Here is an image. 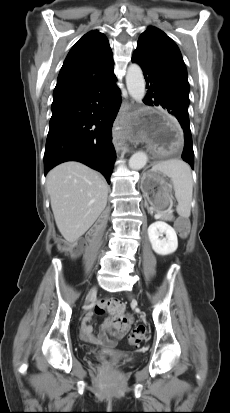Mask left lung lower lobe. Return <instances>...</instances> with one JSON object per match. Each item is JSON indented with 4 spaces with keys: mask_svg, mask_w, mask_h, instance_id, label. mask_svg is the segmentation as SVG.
<instances>
[{
    "mask_svg": "<svg viewBox=\"0 0 230 413\" xmlns=\"http://www.w3.org/2000/svg\"><path fill=\"white\" fill-rule=\"evenodd\" d=\"M132 62L141 66L146 80L148 91L144 103L162 106L180 123L185 142L182 158L193 168L194 152L188 116L189 98L174 88L156 69L135 58H132Z\"/></svg>",
    "mask_w": 230,
    "mask_h": 413,
    "instance_id": "obj_1",
    "label": "left lung lower lobe"
}]
</instances>
